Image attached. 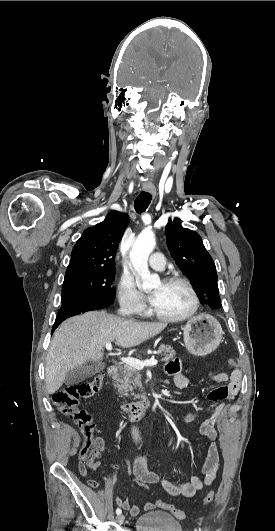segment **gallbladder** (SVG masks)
<instances>
[{
	"label": "gallbladder",
	"instance_id": "bac80fb5",
	"mask_svg": "<svg viewBox=\"0 0 275 531\" xmlns=\"http://www.w3.org/2000/svg\"><path fill=\"white\" fill-rule=\"evenodd\" d=\"M104 367V363H84L81 367H75L72 371H68L64 383L65 385H79L85 379H89V377H93L96 373H100Z\"/></svg>",
	"mask_w": 275,
	"mask_h": 531
}]
</instances>
